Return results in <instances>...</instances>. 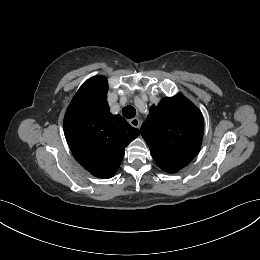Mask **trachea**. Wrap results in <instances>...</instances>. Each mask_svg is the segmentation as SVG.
<instances>
[{"label": "trachea", "mask_w": 260, "mask_h": 260, "mask_svg": "<svg viewBox=\"0 0 260 260\" xmlns=\"http://www.w3.org/2000/svg\"><path fill=\"white\" fill-rule=\"evenodd\" d=\"M122 114L125 118L131 119L136 115V109L133 106H126L122 109Z\"/></svg>", "instance_id": "3493384b"}]
</instances>
